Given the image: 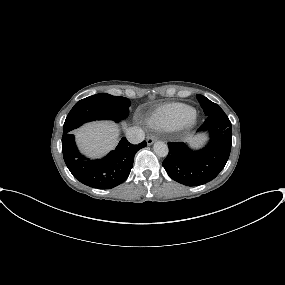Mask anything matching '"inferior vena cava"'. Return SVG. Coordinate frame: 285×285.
<instances>
[{
    "instance_id": "obj_1",
    "label": "inferior vena cava",
    "mask_w": 285,
    "mask_h": 285,
    "mask_svg": "<svg viewBox=\"0 0 285 285\" xmlns=\"http://www.w3.org/2000/svg\"><path fill=\"white\" fill-rule=\"evenodd\" d=\"M126 138L132 144H139L145 139V134L141 128L131 127L126 130Z\"/></svg>"
}]
</instances>
